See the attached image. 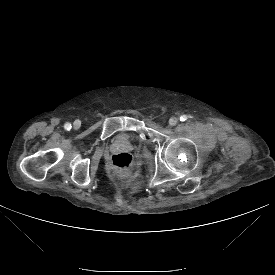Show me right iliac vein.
<instances>
[{
	"label": "right iliac vein",
	"instance_id": "right-iliac-vein-1",
	"mask_svg": "<svg viewBox=\"0 0 275 275\" xmlns=\"http://www.w3.org/2000/svg\"><path fill=\"white\" fill-rule=\"evenodd\" d=\"M80 127V121L79 120H76L75 122H74V128L75 129H78Z\"/></svg>",
	"mask_w": 275,
	"mask_h": 275
}]
</instances>
